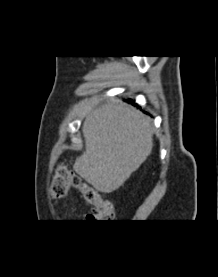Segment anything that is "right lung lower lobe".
Instances as JSON below:
<instances>
[{"label":"right lung lower lobe","instance_id":"right-lung-lower-lobe-1","mask_svg":"<svg viewBox=\"0 0 218 277\" xmlns=\"http://www.w3.org/2000/svg\"><path fill=\"white\" fill-rule=\"evenodd\" d=\"M129 103H132L133 105L137 106V104H135L134 102L128 101Z\"/></svg>","mask_w":218,"mask_h":277}]
</instances>
